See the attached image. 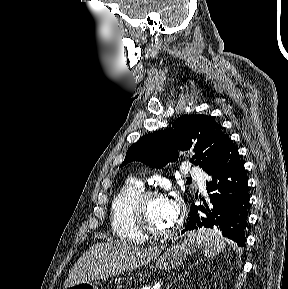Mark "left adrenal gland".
Wrapping results in <instances>:
<instances>
[{
  "instance_id": "1",
  "label": "left adrenal gland",
  "mask_w": 288,
  "mask_h": 289,
  "mask_svg": "<svg viewBox=\"0 0 288 289\" xmlns=\"http://www.w3.org/2000/svg\"><path fill=\"white\" fill-rule=\"evenodd\" d=\"M181 275H177V277L174 278V280L166 287V289H169L178 279H180Z\"/></svg>"
}]
</instances>
